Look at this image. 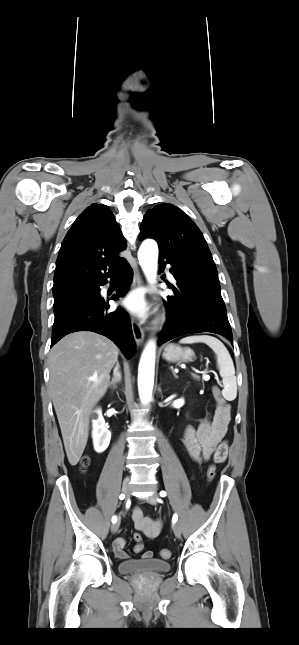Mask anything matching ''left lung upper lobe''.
<instances>
[{
  "label": "left lung upper lobe",
  "mask_w": 299,
  "mask_h": 645,
  "mask_svg": "<svg viewBox=\"0 0 299 645\" xmlns=\"http://www.w3.org/2000/svg\"><path fill=\"white\" fill-rule=\"evenodd\" d=\"M145 238H153L158 242L159 256L175 254L216 267L197 225L172 204H158L146 212L139 235L140 240Z\"/></svg>",
  "instance_id": "left-lung-upper-lobe-1"
}]
</instances>
